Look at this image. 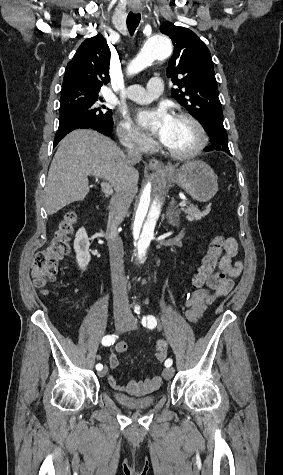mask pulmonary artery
Instances as JSON below:
<instances>
[{
  "label": "pulmonary artery",
  "mask_w": 283,
  "mask_h": 475,
  "mask_svg": "<svg viewBox=\"0 0 283 475\" xmlns=\"http://www.w3.org/2000/svg\"><path fill=\"white\" fill-rule=\"evenodd\" d=\"M129 98L137 103H146L153 99V97L163 96L165 89L163 88L162 80H148L147 87L135 85L132 88L126 89Z\"/></svg>",
  "instance_id": "obj_1"
}]
</instances>
